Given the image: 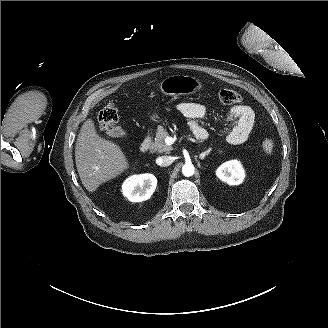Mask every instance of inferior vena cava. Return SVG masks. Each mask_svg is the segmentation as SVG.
I'll return each mask as SVG.
<instances>
[{"label":"inferior vena cava","instance_id":"inferior-vena-cava-1","mask_svg":"<svg viewBox=\"0 0 328 328\" xmlns=\"http://www.w3.org/2000/svg\"><path fill=\"white\" fill-rule=\"evenodd\" d=\"M173 158L171 156H160L157 158L156 162L162 167L169 166L173 163Z\"/></svg>","mask_w":328,"mask_h":328}]
</instances>
